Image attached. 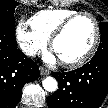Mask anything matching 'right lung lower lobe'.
<instances>
[{
  "instance_id": "98d812e1",
  "label": "right lung lower lobe",
  "mask_w": 108,
  "mask_h": 108,
  "mask_svg": "<svg viewBox=\"0 0 108 108\" xmlns=\"http://www.w3.org/2000/svg\"><path fill=\"white\" fill-rule=\"evenodd\" d=\"M38 78V65L17 48L15 31L0 28V108H14L24 84Z\"/></svg>"
}]
</instances>
